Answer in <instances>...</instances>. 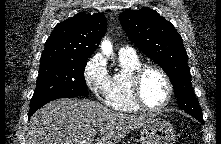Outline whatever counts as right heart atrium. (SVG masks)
I'll return each mask as SVG.
<instances>
[{
	"mask_svg": "<svg viewBox=\"0 0 221 144\" xmlns=\"http://www.w3.org/2000/svg\"><path fill=\"white\" fill-rule=\"evenodd\" d=\"M83 75L87 87L95 97L107 100L110 93L111 77L101 55L95 54L88 60Z\"/></svg>",
	"mask_w": 221,
	"mask_h": 144,
	"instance_id": "d8ad5b80",
	"label": "right heart atrium"
}]
</instances>
